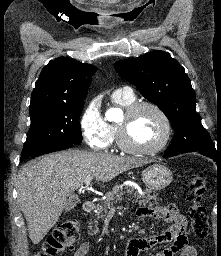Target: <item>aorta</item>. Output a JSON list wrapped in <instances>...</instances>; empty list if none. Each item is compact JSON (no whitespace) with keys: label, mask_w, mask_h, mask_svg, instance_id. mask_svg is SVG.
Segmentation results:
<instances>
[{"label":"aorta","mask_w":221,"mask_h":256,"mask_svg":"<svg viewBox=\"0 0 221 256\" xmlns=\"http://www.w3.org/2000/svg\"><path fill=\"white\" fill-rule=\"evenodd\" d=\"M118 112V110L117 109H115V108H111V109H109L108 111H107V117H113L116 113Z\"/></svg>","instance_id":"obj_1"}]
</instances>
